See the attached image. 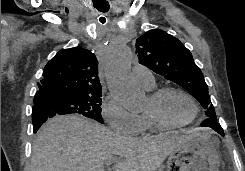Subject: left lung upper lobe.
<instances>
[{
  "mask_svg": "<svg viewBox=\"0 0 245 171\" xmlns=\"http://www.w3.org/2000/svg\"><path fill=\"white\" fill-rule=\"evenodd\" d=\"M136 53L140 64L189 91L206 109L207 119L216 120L203 73L177 38L163 30H149L136 40Z\"/></svg>",
  "mask_w": 245,
  "mask_h": 171,
  "instance_id": "left-lung-upper-lobe-1",
  "label": "left lung upper lobe"
}]
</instances>
